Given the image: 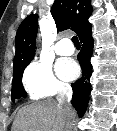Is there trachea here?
I'll return each mask as SVG.
<instances>
[{
	"mask_svg": "<svg viewBox=\"0 0 117 131\" xmlns=\"http://www.w3.org/2000/svg\"><path fill=\"white\" fill-rule=\"evenodd\" d=\"M72 42H73V44H74L75 46H80V42H79V40H78V37L73 36V37H72Z\"/></svg>",
	"mask_w": 117,
	"mask_h": 131,
	"instance_id": "obj_1",
	"label": "trachea"
}]
</instances>
